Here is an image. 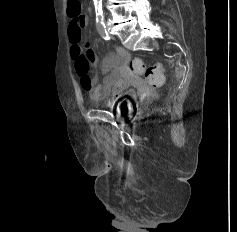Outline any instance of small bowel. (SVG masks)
Returning <instances> with one entry per match:
<instances>
[{
	"mask_svg": "<svg viewBox=\"0 0 237 232\" xmlns=\"http://www.w3.org/2000/svg\"><path fill=\"white\" fill-rule=\"evenodd\" d=\"M86 24L87 17L82 14L79 19H71L68 26L70 51L77 74L83 89L91 99L105 100L108 104H113L128 94L130 83L124 76L128 73L130 54L124 48L118 47L115 54L104 58L101 69L105 77L102 83H98L95 53L88 45L82 44V28Z\"/></svg>",
	"mask_w": 237,
	"mask_h": 232,
	"instance_id": "c3829d8e",
	"label": "small bowel"
}]
</instances>
